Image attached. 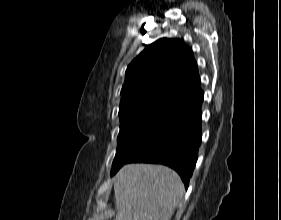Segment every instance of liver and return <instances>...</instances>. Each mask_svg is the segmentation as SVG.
I'll return each mask as SVG.
<instances>
[{
	"instance_id": "1",
	"label": "liver",
	"mask_w": 281,
	"mask_h": 220,
	"mask_svg": "<svg viewBox=\"0 0 281 220\" xmlns=\"http://www.w3.org/2000/svg\"><path fill=\"white\" fill-rule=\"evenodd\" d=\"M113 184L114 220H171L185 191L178 173L155 164L124 165Z\"/></svg>"
}]
</instances>
